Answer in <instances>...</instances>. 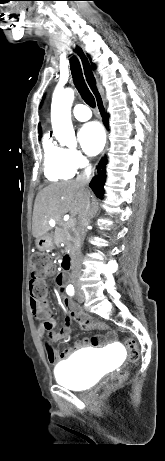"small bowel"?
I'll return each mask as SVG.
<instances>
[{"label": "small bowel", "mask_w": 165, "mask_h": 461, "mask_svg": "<svg viewBox=\"0 0 165 461\" xmlns=\"http://www.w3.org/2000/svg\"><path fill=\"white\" fill-rule=\"evenodd\" d=\"M65 273L63 271H57L55 274V284L58 288V292L63 296L65 292V282L63 277ZM62 305L65 309L68 310V313L65 318V322L63 326L59 329V331L55 332L54 328L56 326V320L54 318L53 312L49 307H42L39 305L32 297L30 298V309L31 314L37 320L41 321L40 327L38 328V337L42 339L46 334L48 335L49 339L53 342L60 341L66 338L70 334V326L71 321L73 319L77 320L82 328L84 329H91L97 328L100 330H105L106 326L103 324L94 325L90 321L86 320L80 312L76 311L71 302L64 298L62 300ZM114 333L108 332L107 339H113ZM100 339L94 337L92 339L84 338L78 340L74 343L73 347L63 350L62 352H57L53 349L50 345L46 344L44 346L47 358L51 364H56L59 361L68 358L75 350H79L81 348L90 346V345H99Z\"/></svg>", "instance_id": "c3829d8e"}]
</instances>
